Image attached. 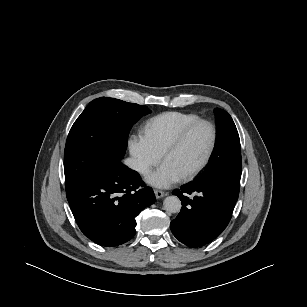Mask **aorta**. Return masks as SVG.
Segmentation results:
<instances>
[{
  "label": "aorta",
  "mask_w": 307,
  "mask_h": 307,
  "mask_svg": "<svg viewBox=\"0 0 307 307\" xmlns=\"http://www.w3.org/2000/svg\"><path fill=\"white\" fill-rule=\"evenodd\" d=\"M164 209L169 213H178L181 210V201L177 196H168L163 202Z\"/></svg>",
  "instance_id": "1"
}]
</instances>
